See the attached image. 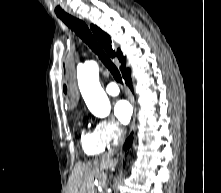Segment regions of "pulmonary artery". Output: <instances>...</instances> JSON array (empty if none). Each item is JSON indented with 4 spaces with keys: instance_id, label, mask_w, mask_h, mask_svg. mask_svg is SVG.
I'll return each instance as SVG.
<instances>
[{
    "instance_id": "obj_1",
    "label": "pulmonary artery",
    "mask_w": 221,
    "mask_h": 193,
    "mask_svg": "<svg viewBox=\"0 0 221 193\" xmlns=\"http://www.w3.org/2000/svg\"><path fill=\"white\" fill-rule=\"evenodd\" d=\"M119 91H120L119 87L114 82H111L106 86V92L109 95L115 96V95L119 94Z\"/></svg>"
}]
</instances>
